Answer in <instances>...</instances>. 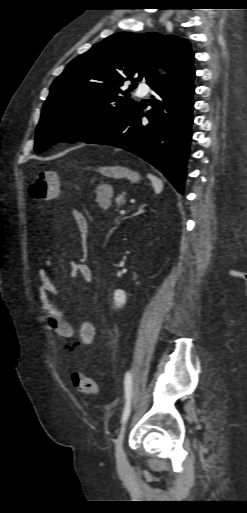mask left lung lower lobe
<instances>
[{"label":"left lung lower lobe","mask_w":247,"mask_h":513,"mask_svg":"<svg viewBox=\"0 0 247 513\" xmlns=\"http://www.w3.org/2000/svg\"><path fill=\"white\" fill-rule=\"evenodd\" d=\"M193 57L172 76L151 86L156 94L150 99V111L144 114L137 105L110 129L85 142L136 154L159 169L182 193L192 136ZM144 116L148 118L147 123L141 120Z\"/></svg>","instance_id":"1"}]
</instances>
